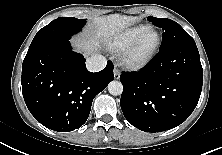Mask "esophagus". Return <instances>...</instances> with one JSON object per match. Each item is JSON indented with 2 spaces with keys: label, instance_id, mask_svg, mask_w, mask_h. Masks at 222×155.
Here are the masks:
<instances>
[{
  "label": "esophagus",
  "instance_id": "esophagus-1",
  "mask_svg": "<svg viewBox=\"0 0 222 155\" xmlns=\"http://www.w3.org/2000/svg\"><path fill=\"white\" fill-rule=\"evenodd\" d=\"M113 74L115 79L120 78V71L117 68L114 69Z\"/></svg>",
  "mask_w": 222,
  "mask_h": 155
}]
</instances>
